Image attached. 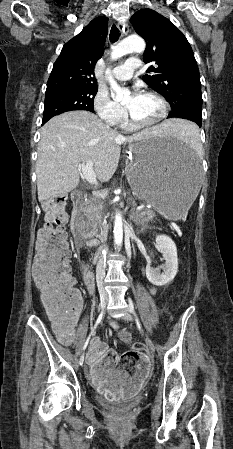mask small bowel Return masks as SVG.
Returning <instances> with one entry per match:
<instances>
[{
	"instance_id": "obj_1",
	"label": "small bowel",
	"mask_w": 233,
	"mask_h": 449,
	"mask_svg": "<svg viewBox=\"0 0 233 449\" xmlns=\"http://www.w3.org/2000/svg\"><path fill=\"white\" fill-rule=\"evenodd\" d=\"M80 279L84 281L88 292L95 289V272H82ZM155 292V289H152ZM75 320L70 323H55V330L59 340L69 345L74 338ZM115 327H118L114 323ZM119 335L121 340L130 344L132 339L130 333L126 329H120ZM118 361V354L110 348L106 343L100 341L97 337L91 340V347L87 354V362L90 365V377L95 385L101 389L98 391L99 399H133L136 390H142L144 377L150 376L149 368L145 366L144 360L138 361L141 368H115Z\"/></svg>"
}]
</instances>
